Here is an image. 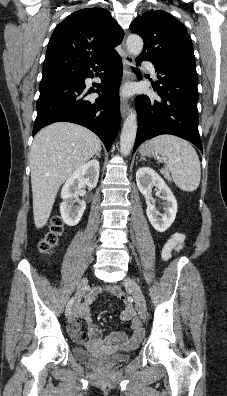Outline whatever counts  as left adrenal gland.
Returning <instances> with one entry per match:
<instances>
[{"label": "left adrenal gland", "mask_w": 227, "mask_h": 396, "mask_svg": "<svg viewBox=\"0 0 227 396\" xmlns=\"http://www.w3.org/2000/svg\"><path fill=\"white\" fill-rule=\"evenodd\" d=\"M141 160H144V159H143V158H140V161H141Z\"/></svg>", "instance_id": "a2214340"}]
</instances>
